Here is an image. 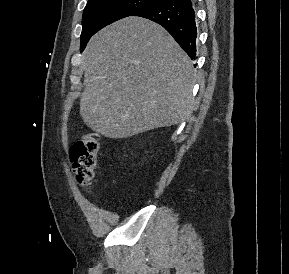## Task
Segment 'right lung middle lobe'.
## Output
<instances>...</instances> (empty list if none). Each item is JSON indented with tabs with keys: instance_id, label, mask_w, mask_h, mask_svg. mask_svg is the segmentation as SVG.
I'll return each instance as SVG.
<instances>
[{
	"instance_id": "dd1d6c3e",
	"label": "right lung middle lobe",
	"mask_w": 289,
	"mask_h": 274,
	"mask_svg": "<svg viewBox=\"0 0 289 274\" xmlns=\"http://www.w3.org/2000/svg\"><path fill=\"white\" fill-rule=\"evenodd\" d=\"M161 0H89L83 13L81 51L87 42L101 28Z\"/></svg>"
}]
</instances>
